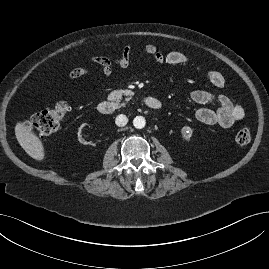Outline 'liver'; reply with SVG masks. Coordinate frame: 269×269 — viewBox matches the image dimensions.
Instances as JSON below:
<instances>
[{
  "label": "liver",
  "instance_id": "6515ba94",
  "mask_svg": "<svg viewBox=\"0 0 269 269\" xmlns=\"http://www.w3.org/2000/svg\"><path fill=\"white\" fill-rule=\"evenodd\" d=\"M15 135L20 146L33 159L43 161L45 150L41 139L23 122L15 125Z\"/></svg>",
  "mask_w": 269,
  "mask_h": 269
}]
</instances>
